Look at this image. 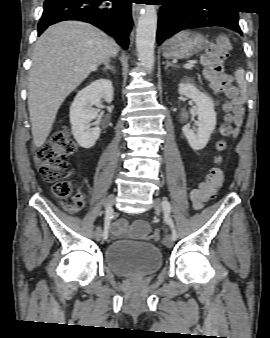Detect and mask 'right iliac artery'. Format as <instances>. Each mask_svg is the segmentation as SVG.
I'll return each instance as SVG.
<instances>
[{
  "label": "right iliac artery",
  "mask_w": 270,
  "mask_h": 338,
  "mask_svg": "<svg viewBox=\"0 0 270 338\" xmlns=\"http://www.w3.org/2000/svg\"><path fill=\"white\" fill-rule=\"evenodd\" d=\"M113 218V209L112 207L106 208L105 218H104V232L103 239L106 240L108 238V231L110 226V221Z\"/></svg>",
  "instance_id": "right-iliac-artery-1"
}]
</instances>
